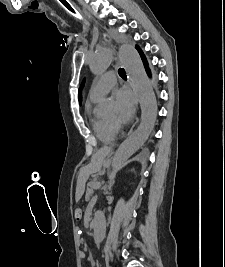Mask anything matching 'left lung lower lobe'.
<instances>
[{
	"label": "left lung lower lobe",
	"instance_id": "0a47b994",
	"mask_svg": "<svg viewBox=\"0 0 225 267\" xmlns=\"http://www.w3.org/2000/svg\"><path fill=\"white\" fill-rule=\"evenodd\" d=\"M136 49L138 50V52H139V54L141 56V59L143 61V64L145 66V69H146V72H147L148 76L151 77V71H150V69L148 67V62L146 60L145 55L143 54L142 50L138 46H136Z\"/></svg>",
	"mask_w": 225,
	"mask_h": 267
}]
</instances>
